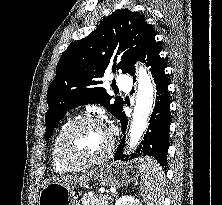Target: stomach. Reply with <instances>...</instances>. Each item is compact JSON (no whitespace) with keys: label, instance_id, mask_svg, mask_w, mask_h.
I'll return each mask as SVG.
<instances>
[{"label":"stomach","instance_id":"stomach-1","mask_svg":"<svg viewBox=\"0 0 222 205\" xmlns=\"http://www.w3.org/2000/svg\"><path fill=\"white\" fill-rule=\"evenodd\" d=\"M138 165V159L130 162L109 163L95 172V179L102 186L120 188L140 176ZM38 205H79V200L70 185L51 182L41 190Z\"/></svg>","mask_w":222,"mask_h":205}]
</instances>
